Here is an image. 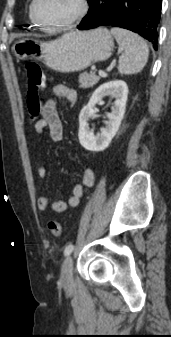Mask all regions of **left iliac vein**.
Wrapping results in <instances>:
<instances>
[{
    "instance_id": "1",
    "label": "left iliac vein",
    "mask_w": 171,
    "mask_h": 337,
    "mask_svg": "<svg viewBox=\"0 0 171 337\" xmlns=\"http://www.w3.org/2000/svg\"><path fill=\"white\" fill-rule=\"evenodd\" d=\"M61 282L64 286L70 287L73 284V259L68 256L62 265Z\"/></svg>"
}]
</instances>
